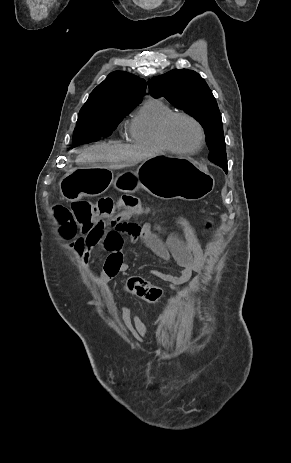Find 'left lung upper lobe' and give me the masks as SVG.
<instances>
[{
    "label": "left lung upper lobe",
    "instance_id": "5c2ea615",
    "mask_svg": "<svg viewBox=\"0 0 291 463\" xmlns=\"http://www.w3.org/2000/svg\"><path fill=\"white\" fill-rule=\"evenodd\" d=\"M148 86L153 97H165L198 120L207 135L210 161L227 165L221 114L205 80L195 71L173 69L150 79Z\"/></svg>",
    "mask_w": 291,
    "mask_h": 463
}]
</instances>
